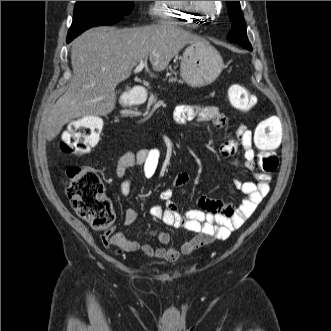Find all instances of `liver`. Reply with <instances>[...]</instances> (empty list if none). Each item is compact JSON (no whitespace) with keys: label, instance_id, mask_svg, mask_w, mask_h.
I'll use <instances>...</instances> for the list:
<instances>
[{"label":"liver","instance_id":"liver-1","mask_svg":"<svg viewBox=\"0 0 331 331\" xmlns=\"http://www.w3.org/2000/svg\"><path fill=\"white\" fill-rule=\"evenodd\" d=\"M200 40L170 22L85 31L71 44L73 77L42 122L45 138L53 140L73 119L111 113L116 104V86L141 60L149 56L153 70L161 72L184 46Z\"/></svg>","mask_w":331,"mask_h":331}]
</instances>
